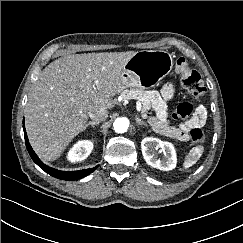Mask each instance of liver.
I'll use <instances>...</instances> for the list:
<instances>
[{"label":"liver","mask_w":243,"mask_h":243,"mask_svg":"<svg viewBox=\"0 0 243 243\" xmlns=\"http://www.w3.org/2000/svg\"><path fill=\"white\" fill-rule=\"evenodd\" d=\"M72 54L46 66L34 82L25 107V126L35 152L56 160L84 127L95 108L112 109L123 88L121 73L135 54Z\"/></svg>","instance_id":"6515ba94"}]
</instances>
